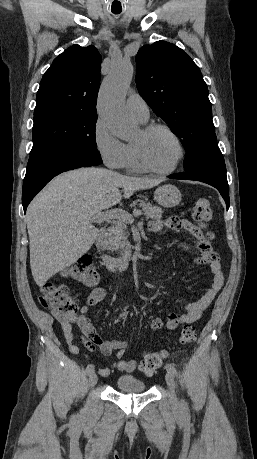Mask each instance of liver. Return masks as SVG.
I'll return each instance as SVG.
<instances>
[{"mask_svg": "<svg viewBox=\"0 0 257 459\" xmlns=\"http://www.w3.org/2000/svg\"><path fill=\"white\" fill-rule=\"evenodd\" d=\"M163 180L125 176L103 168H79L54 178L26 212L30 266L42 287L53 275L75 263L99 235L91 221L136 190ZM122 189V191H120Z\"/></svg>", "mask_w": 257, "mask_h": 459, "instance_id": "liver-1", "label": "liver"}]
</instances>
